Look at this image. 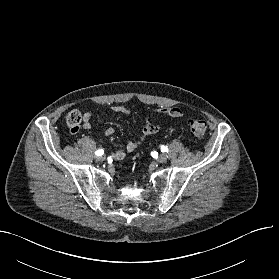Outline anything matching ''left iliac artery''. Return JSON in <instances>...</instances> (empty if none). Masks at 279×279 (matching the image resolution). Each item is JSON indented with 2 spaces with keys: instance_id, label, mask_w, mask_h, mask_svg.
Returning <instances> with one entry per match:
<instances>
[{
  "instance_id": "1",
  "label": "left iliac artery",
  "mask_w": 279,
  "mask_h": 279,
  "mask_svg": "<svg viewBox=\"0 0 279 279\" xmlns=\"http://www.w3.org/2000/svg\"><path fill=\"white\" fill-rule=\"evenodd\" d=\"M161 151L162 152H168V148L166 146H161Z\"/></svg>"
}]
</instances>
